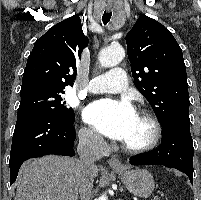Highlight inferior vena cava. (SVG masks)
Here are the masks:
<instances>
[{"mask_svg":"<svg viewBox=\"0 0 201 200\" xmlns=\"http://www.w3.org/2000/svg\"><path fill=\"white\" fill-rule=\"evenodd\" d=\"M103 149L104 141L100 135L92 132L79 135L77 171L81 200H90L92 197L95 161L102 158Z\"/></svg>","mask_w":201,"mask_h":200,"instance_id":"1","label":"inferior vena cava"}]
</instances>
